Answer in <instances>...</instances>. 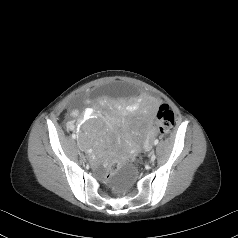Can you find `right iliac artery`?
Listing matches in <instances>:
<instances>
[{"label":"right iliac artery","mask_w":238,"mask_h":238,"mask_svg":"<svg viewBox=\"0 0 238 238\" xmlns=\"http://www.w3.org/2000/svg\"><path fill=\"white\" fill-rule=\"evenodd\" d=\"M72 138L75 139V138H76V135H75V134H72Z\"/></svg>","instance_id":"1"}]
</instances>
